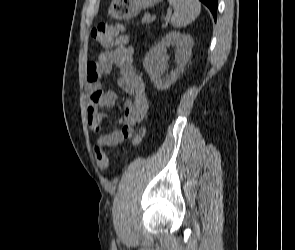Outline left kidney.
<instances>
[{"label":"left kidney","mask_w":295,"mask_h":250,"mask_svg":"<svg viewBox=\"0 0 295 250\" xmlns=\"http://www.w3.org/2000/svg\"><path fill=\"white\" fill-rule=\"evenodd\" d=\"M170 45L176 46L177 48L175 55L177 67L167 78L161 79V75L167 67V47ZM192 47L193 39L190 35L171 31L155 47L149 50L143 60V65L158 90L170 87L178 79L184 66L191 57Z\"/></svg>","instance_id":"left-kidney-1"}]
</instances>
